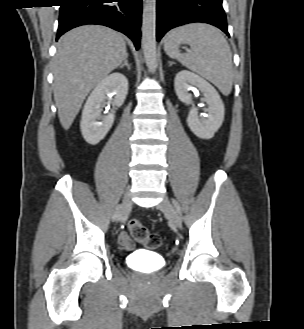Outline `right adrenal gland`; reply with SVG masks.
<instances>
[{"label": "right adrenal gland", "instance_id": "obj_1", "mask_svg": "<svg viewBox=\"0 0 304 329\" xmlns=\"http://www.w3.org/2000/svg\"><path fill=\"white\" fill-rule=\"evenodd\" d=\"M127 67L128 70H130L131 66L128 63V55L126 56V58L124 59V62L119 66V68H123V67Z\"/></svg>", "mask_w": 304, "mask_h": 329}]
</instances>
